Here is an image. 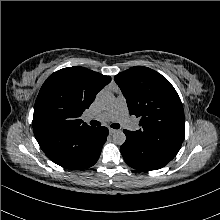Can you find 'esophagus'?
Masks as SVG:
<instances>
[{
    "label": "esophagus",
    "mask_w": 220,
    "mask_h": 220,
    "mask_svg": "<svg viewBox=\"0 0 220 220\" xmlns=\"http://www.w3.org/2000/svg\"><path fill=\"white\" fill-rule=\"evenodd\" d=\"M117 130H115V129H112V128H109V133L110 134H113V133H115Z\"/></svg>",
    "instance_id": "esophagus-1"
}]
</instances>
